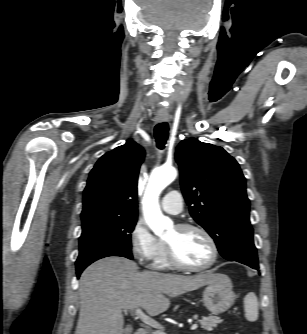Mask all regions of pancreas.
I'll return each mask as SVG.
<instances>
[{
	"instance_id": "cf45deb5",
	"label": "pancreas",
	"mask_w": 307,
	"mask_h": 334,
	"mask_svg": "<svg viewBox=\"0 0 307 334\" xmlns=\"http://www.w3.org/2000/svg\"><path fill=\"white\" fill-rule=\"evenodd\" d=\"M222 322L223 320L220 317L213 316V315L203 317L201 320H199L201 328L208 330V331L217 327V325ZM151 334H165V333L163 331H154Z\"/></svg>"
}]
</instances>
